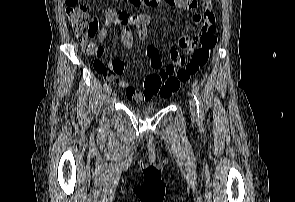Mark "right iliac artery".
<instances>
[{
    "mask_svg": "<svg viewBox=\"0 0 295 202\" xmlns=\"http://www.w3.org/2000/svg\"><path fill=\"white\" fill-rule=\"evenodd\" d=\"M108 88H109L108 84L105 83V84L103 85V89H104V90H108Z\"/></svg>",
    "mask_w": 295,
    "mask_h": 202,
    "instance_id": "obj_1",
    "label": "right iliac artery"
}]
</instances>
